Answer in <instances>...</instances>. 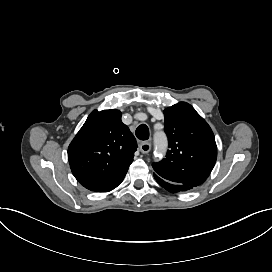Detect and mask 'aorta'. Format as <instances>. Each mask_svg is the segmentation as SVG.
<instances>
[{
    "mask_svg": "<svg viewBox=\"0 0 272 272\" xmlns=\"http://www.w3.org/2000/svg\"><path fill=\"white\" fill-rule=\"evenodd\" d=\"M159 136L160 135H157V137L155 138V141L158 143V141H159ZM164 145H166V141L165 140H163L162 141V146H164Z\"/></svg>",
    "mask_w": 272,
    "mask_h": 272,
    "instance_id": "762f6f07",
    "label": "aorta"
}]
</instances>
